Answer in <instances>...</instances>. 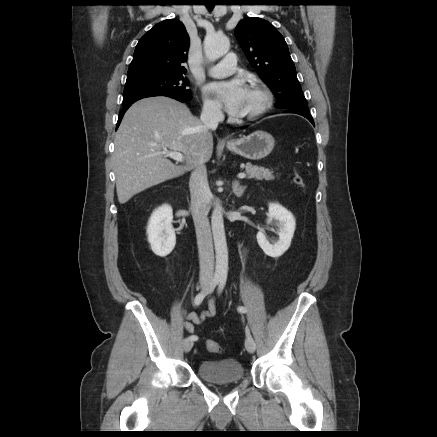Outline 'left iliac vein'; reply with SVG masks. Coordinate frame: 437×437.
Returning a JSON list of instances; mask_svg holds the SVG:
<instances>
[{"mask_svg": "<svg viewBox=\"0 0 437 437\" xmlns=\"http://www.w3.org/2000/svg\"><path fill=\"white\" fill-rule=\"evenodd\" d=\"M245 347L249 353L255 352L256 345L250 333H247L246 340H245Z\"/></svg>", "mask_w": 437, "mask_h": 437, "instance_id": "obj_1", "label": "left iliac vein"}]
</instances>
